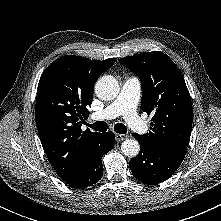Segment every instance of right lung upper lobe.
I'll list each match as a JSON object with an SVG mask.
<instances>
[{
    "label": "right lung upper lobe",
    "mask_w": 221,
    "mask_h": 221,
    "mask_svg": "<svg viewBox=\"0 0 221 221\" xmlns=\"http://www.w3.org/2000/svg\"><path fill=\"white\" fill-rule=\"evenodd\" d=\"M115 58L103 61L66 55L43 72L36 98V125L43 148L62 180L77 176L100 133L81 129L99 75Z\"/></svg>",
    "instance_id": "obj_1"
}]
</instances>
